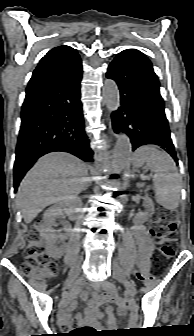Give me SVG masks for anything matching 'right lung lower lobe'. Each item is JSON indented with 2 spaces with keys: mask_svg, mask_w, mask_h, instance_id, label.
<instances>
[{
  "mask_svg": "<svg viewBox=\"0 0 194 336\" xmlns=\"http://www.w3.org/2000/svg\"><path fill=\"white\" fill-rule=\"evenodd\" d=\"M82 64L66 75L26 90L14 163V188L42 155L69 152L93 161L84 130L80 81Z\"/></svg>",
  "mask_w": 194,
  "mask_h": 336,
  "instance_id": "1",
  "label": "right lung lower lobe"
}]
</instances>
